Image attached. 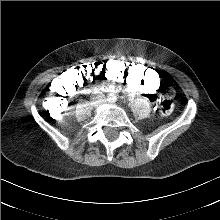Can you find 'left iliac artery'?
<instances>
[{
    "label": "left iliac artery",
    "mask_w": 220,
    "mask_h": 220,
    "mask_svg": "<svg viewBox=\"0 0 220 220\" xmlns=\"http://www.w3.org/2000/svg\"><path fill=\"white\" fill-rule=\"evenodd\" d=\"M117 100V98L116 97H113V101H116Z\"/></svg>",
    "instance_id": "1"
}]
</instances>
